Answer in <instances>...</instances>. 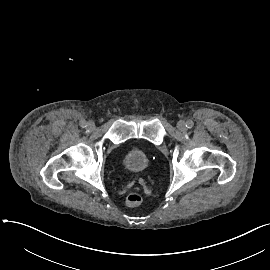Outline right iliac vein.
<instances>
[{
  "label": "right iliac vein",
  "mask_w": 270,
  "mask_h": 270,
  "mask_svg": "<svg viewBox=\"0 0 270 270\" xmlns=\"http://www.w3.org/2000/svg\"><path fill=\"white\" fill-rule=\"evenodd\" d=\"M87 128H88L89 130H94V128H95V123L92 122V121H90V122L87 124Z\"/></svg>",
  "instance_id": "right-iliac-vein-1"
}]
</instances>
